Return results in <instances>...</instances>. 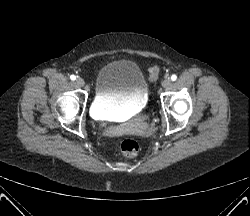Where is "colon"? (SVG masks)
I'll return each mask as SVG.
<instances>
[{
	"instance_id": "obj_1",
	"label": "colon",
	"mask_w": 250,
	"mask_h": 216,
	"mask_svg": "<svg viewBox=\"0 0 250 216\" xmlns=\"http://www.w3.org/2000/svg\"><path fill=\"white\" fill-rule=\"evenodd\" d=\"M159 70V67L156 65L149 68L150 81H155L158 78ZM138 151L139 145L132 139L124 140L119 148V154L125 157H134L138 154Z\"/></svg>"
}]
</instances>
